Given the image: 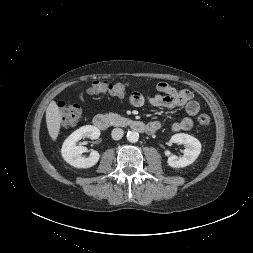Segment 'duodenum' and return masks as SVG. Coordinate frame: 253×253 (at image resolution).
I'll use <instances>...</instances> for the list:
<instances>
[{"instance_id": "410a0bca", "label": "duodenum", "mask_w": 253, "mask_h": 253, "mask_svg": "<svg viewBox=\"0 0 253 253\" xmlns=\"http://www.w3.org/2000/svg\"><path fill=\"white\" fill-rule=\"evenodd\" d=\"M94 125L101 129L106 130L111 127V120L104 114H98L93 118ZM130 128L136 132H148L150 131L149 125L141 121H132Z\"/></svg>"}]
</instances>
